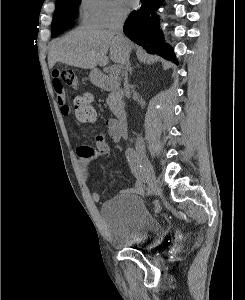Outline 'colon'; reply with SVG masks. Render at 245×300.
Here are the masks:
<instances>
[{"instance_id": "obj_1", "label": "colon", "mask_w": 245, "mask_h": 300, "mask_svg": "<svg viewBox=\"0 0 245 300\" xmlns=\"http://www.w3.org/2000/svg\"><path fill=\"white\" fill-rule=\"evenodd\" d=\"M54 74L74 90L78 89V78L73 70H57ZM76 119L81 123H91L96 118L92 97L89 93L78 94L73 100Z\"/></svg>"}]
</instances>
